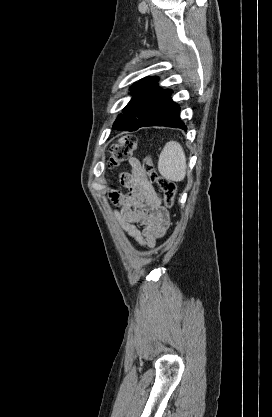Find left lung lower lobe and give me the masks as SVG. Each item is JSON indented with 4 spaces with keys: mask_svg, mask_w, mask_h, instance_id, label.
<instances>
[{
    "mask_svg": "<svg viewBox=\"0 0 272 417\" xmlns=\"http://www.w3.org/2000/svg\"><path fill=\"white\" fill-rule=\"evenodd\" d=\"M171 93L164 99L158 110L149 116L141 127L166 126L183 130L187 129L185 124L180 120V108L178 104L172 101Z\"/></svg>",
    "mask_w": 272,
    "mask_h": 417,
    "instance_id": "left-lung-lower-lobe-1",
    "label": "left lung lower lobe"
}]
</instances>
